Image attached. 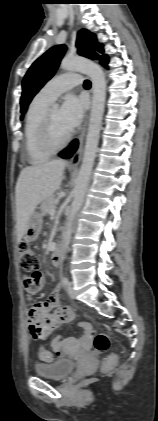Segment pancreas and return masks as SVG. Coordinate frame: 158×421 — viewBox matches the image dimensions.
<instances>
[{
	"label": "pancreas",
	"instance_id": "1",
	"mask_svg": "<svg viewBox=\"0 0 158 421\" xmlns=\"http://www.w3.org/2000/svg\"><path fill=\"white\" fill-rule=\"evenodd\" d=\"M56 205H57V200L54 196H50L49 198L45 199L40 206L42 215L50 214V210L55 209Z\"/></svg>",
	"mask_w": 158,
	"mask_h": 421
}]
</instances>
